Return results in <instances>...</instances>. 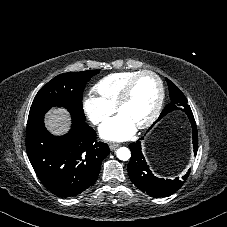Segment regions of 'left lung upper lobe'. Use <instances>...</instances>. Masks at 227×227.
I'll return each mask as SVG.
<instances>
[{"label":"left lung upper lobe","mask_w":227,"mask_h":227,"mask_svg":"<svg viewBox=\"0 0 227 227\" xmlns=\"http://www.w3.org/2000/svg\"><path fill=\"white\" fill-rule=\"evenodd\" d=\"M166 81L168 83L171 102L163 109L157 121L175 110L184 111L188 116L193 115L184 94L169 79L166 78Z\"/></svg>","instance_id":"left-lung-upper-lobe-1"}]
</instances>
